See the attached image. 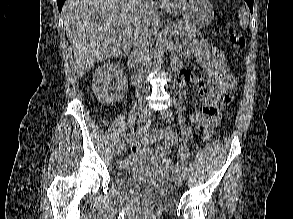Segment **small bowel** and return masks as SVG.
<instances>
[{
    "instance_id": "1",
    "label": "small bowel",
    "mask_w": 293,
    "mask_h": 219,
    "mask_svg": "<svg viewBox=\"0 0 293 219\" xmlns=\"http://www.w3.org/2000/svg\"><path fill=\"white\" fill-rule=\"evenodd\" d=\"M187 50L195 56L210 77L209 81H202L197 79L190 70L185 69L178 74L180 85L194 82L199 87L198 110L191 115L189 120L198 127L212 126L214 128L221 120L220 109L231 100L230 92L236 87V79L211 58L209 47L204 41L189 42ZM164 131H170V129L166 127L154 129L144 133L141 137L125 135V138L132 150L140 153L148 144L159 140ZM172 135L177 139V134L172 133Z\"/></svg>"
}]
</instances>
